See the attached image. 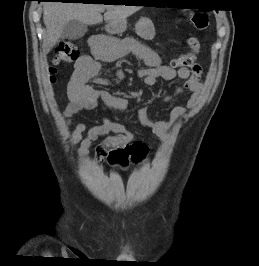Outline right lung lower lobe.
<instances>
[{
    "label": "right lung lower lobe",
    "mask_w": 259,
    "mask_h": 266,
    "mask_svg": "<svg viewBox=\"0 0 259 266\" xmlns=\"http://www.w3.org/2000/svg\"><path fill=\"white\" fill-rule=\"evenodd\" d=\"M38 1H42V0H38ZM56 1H62V2H64V1H67V0H56Z\"/></svg>",
    "instance_id": "98d812e1"
}]
</instances>
